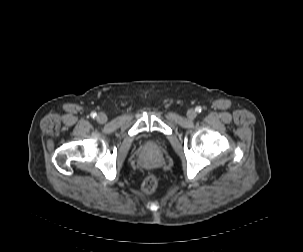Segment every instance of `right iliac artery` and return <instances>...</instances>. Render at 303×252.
Listing matches in <instances>:
<instances>
[{
	"label": "right iliac artery",
	"instance_id": "82829eb1",
	"mask_svg": "<svg viewBox=\"0 0 303 252\" xmlns=\"http://www.w3.org/2000/svg\"><path fill=\"white\" fill-rule=\"evenodd\" d=\"M91 116L94 118L96 116V113L95 112H92L91 113Z\"/></svg>",
	"mask_w": 303,
	"mask_h": 252
}]
</instances>
